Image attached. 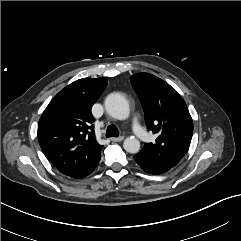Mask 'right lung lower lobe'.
<instances>
[{
	"label": "right lung lower lobe",
	"instance_id": "obj_1",
	"mask_svg": "<svg viewBox=\"0 0 241 241\" xmlns=\"http://www.w3.org/2000/svg\"><path fill=\"white\" fill-rule=\"evenodd\" d=\"M99 161L75 174H73L71 177L72 178H76V179H80V178H84L86 177L87 175H89L90 173L93 172V170L96 168V166L98 165Z\"/></svg>",
	"mask_w": 241,
	"mask_h": 241
}]
</instances>
